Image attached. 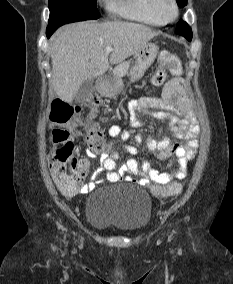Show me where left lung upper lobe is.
<instances>
[{
	"label": "left lung upper lobe",
	"instance_id": "obj_1",
	"mask_svg": "<svg viewBox=\"0 0 233 284\" xmlns=\"http://www.w3.org/2000/svg\"><path fill=\"white\" fill-rule=\"evenodd\" d=\"M177 4L182 8L187 5V0H177ZM176 33L184 36L189 41L192 39V30L190 26L182 20H180L177 24Z\"/></svg>",
	"mask_w": 233,
	"mask_h": 284
}]
</instances>
